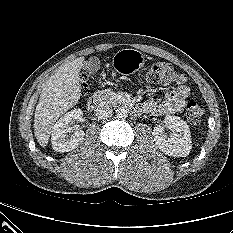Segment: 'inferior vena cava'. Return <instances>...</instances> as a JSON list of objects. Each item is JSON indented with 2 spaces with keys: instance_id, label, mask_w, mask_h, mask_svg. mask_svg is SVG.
Masks as SVG:
<instances>
[{
  "instance_id": "602c4592",
  "label": "inferior vena cava",
  "mask_w": 233,
  "mask_h": 233,
  "mask_svg": "<svg viewBox=\"0 0 233 233\" xmlns=\"http://www.w3.org/2000/svg\"><path fill=\"white\" fill-rule=\"evenodd\" d=\"M112 112L113 110L108 104L101 103L95 110V116L99 119H107L112 115Z\"/></svg>"
}]
</instances>
